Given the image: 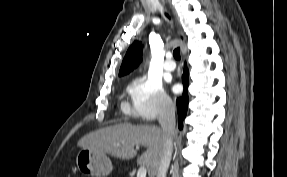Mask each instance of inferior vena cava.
Here are the masks:
<instances>
[{
	"mask_svg": "<svg viewBox=\"0 0 287 177\" xmlns=\"http://www.w3.org/2000/svg\"><path fill=\"white\" fill-rule=\"evenodd\" d=\"M158 121L163 133V147L156 177H166L171 161L175 132V106L172 100L168 99L163 103L159 111Z\"/></svg>",
	"mask_w": 287,
	"mask_h": 177,
	"instance_id": "obj_1",
	"label": "inferior vena cava"
}]
</instances>
